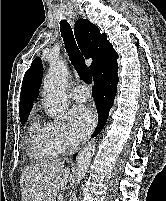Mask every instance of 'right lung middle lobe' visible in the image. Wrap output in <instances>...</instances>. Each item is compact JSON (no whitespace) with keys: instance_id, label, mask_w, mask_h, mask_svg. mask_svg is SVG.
<instances>
[{"instance_id":"1","label":"right lung middle lobe","mask_w":166,"mask_h":201,"mask_svg":"<svg viewBox=\"0 0 166 201\" xmlns=\"http://www.w3.org/2000/svg\"><path fill=\"white\" fill-rule=\"evenodd\" d=\"M28 116L22 117L20 118L21 124L24 125V123L26 122Z\"/></svg>"}]
</instances>
